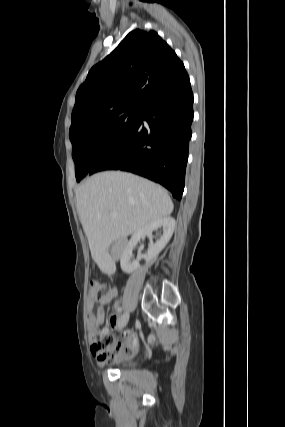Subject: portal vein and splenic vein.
Instances as JSON below:
<instances>
[{"instance_id":"1","label":"portal vein and splenic vein","mask_w":285,"mask_h":427,"mask_svg":"<svg viewBox=\"0 0 285 427\" xmlns=\"http://www.w3.org/2000/svg\"><path fill=\"white\" fill-rule=\"evenodd\" d=\"M116 216H118V213L116 211L111 213V217H116Z\"/></svg>"}]
</instances>
